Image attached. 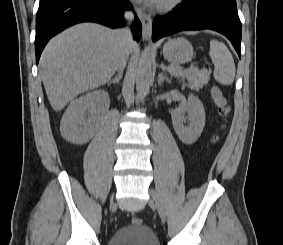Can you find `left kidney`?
<instances>
[{
	"mask_svg": "<svg viewBox=\"0 0 283 245\" xmlns=\"http://www.w3.org/2000/svg\"><path fill=\"white\" fill-rule=\"evenodd\" d=\"M171 117L174 130L184 144L191 145L197 141L205 126L206 117L203 104L198 97L189 94L188 101L176 108ZM185 121H189L188 126L184 125Z\"/></svg>",
	"mask_w": 283,
	"mask_h": 245,
	"instance_id": "left-kidney-1",
	"label": "left kidney"
}]
</instances>
